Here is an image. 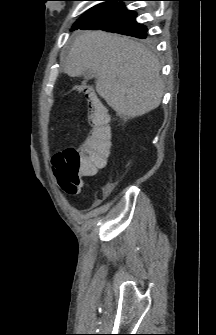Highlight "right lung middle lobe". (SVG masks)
I'll list each match as a JSON object with an SVG mask.
<instances>
[{
	"instance_id": "obj_1",
	"label": "right lung middle lobe",
	"mask_w": 216,
	"mask_h": 335,
	"mask_svg": "<svg viewBox=\"0 0 216 335\" xmlns=\"http://www.w3.org/2000/svg\"><path fill=\"white\" fill-rule=\"evenodd\" d=\"M96 1H104L101 4H98L91 9H89L86 13H84L74 24L73 29H78L82 25L86 24L89 22L91 19L94 17L98 16L99 14L103 13L107 9H109L111 6H113L116 2L119 0H96Z\"/></svg>"
}]
</instances>
